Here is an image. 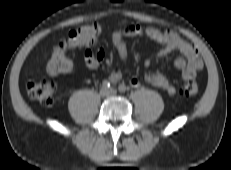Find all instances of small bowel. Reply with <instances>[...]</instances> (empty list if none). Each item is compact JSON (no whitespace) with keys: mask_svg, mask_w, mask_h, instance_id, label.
<instances>
[{"mask_svg":"<svg viewBox=\"0 0 231 170\" xmlns=\"http://www.w3.org/2000/svg\"><path fill=\"white\" fill-rule=\"evenodd\" d=\"M126 37H146L161 45V49L157 55L163 56L172 51L181 53V57L175 60V68L181 72L183 79L192 80L197 73L202 69L203 62L200 58L199 52L196 47L182 38L174 31H160L154 27H143L139 24L125 23L119 30L112 34V43L117 51L119 61L125 63L128 60V48L125 42ZM92 48L94 49L95 43ZM104 52L102 50L85 51V62L90 68H97L103 60ZM149 62H147L148 64ZM122 77L121 71L118 67L111 70L109 79L116 83ZM145 80L152 86L159 88L167 94L173 95L176 92L175 86L168 80L166 76L158 71H148L145 73ZM130 84L133 87L139 85L137 78H132Z\"/></svg>","mask_w":231,"mask_h":170,"instance_id":"small-bowel-1","label":"small bowel"}]
</instances>
